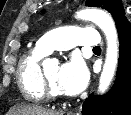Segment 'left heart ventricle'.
<instances>
[{"label":"left heart ventricle","instance_id":"b2bd125f","mask_svg":"<svg viewBox=\"0 0 131 115\" xmlns=\"http://www.w3.org/2000/svg\"><path fill=\"white\" fill-rule=\"evenodd\" d=\"M59 69H60L59 66L54 65L45 70V75L49 81L50 87L53 90H57L56 82H57V76H58Z\"/></svg>","mask_w":131,"mask_h":115}]
</instances>
